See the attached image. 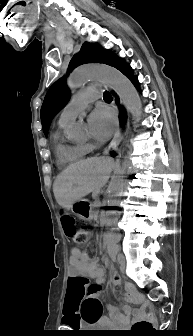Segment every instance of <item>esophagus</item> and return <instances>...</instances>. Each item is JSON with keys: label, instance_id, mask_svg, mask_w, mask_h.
<instances>
[{"label": "esophagus", "instance_id": "esophagus-1", "mask_svg": "<svg viewBox=\"0 0 193 336\" xmlns=\"http://www.w3.org/2000/svg\"><path fill=\"white\" fill-rule=\"evenodd\" d=\"M114 104L116 105L115 101ZM123 135H124L123 128L118 125L111 142L109 143L108 147L104 150L105 155H108L111 150H114L118 147V145L123 139Z\"/></svg>", "mask_w": 193, "mask_h": 336}]
</instances>
